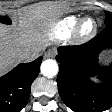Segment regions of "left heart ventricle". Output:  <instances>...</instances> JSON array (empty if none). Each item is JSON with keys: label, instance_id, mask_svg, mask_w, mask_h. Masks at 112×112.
Instances as JSON below:
<instances>
[{"label": "left heart ventricle", "instance_id": "1", "mask_svg": "<svg viewBox=\"0 0 112 112\" xmlns=\"http://www.w3.org/2000/svg\"><path fill=\"white\" fill-rule=\"evenodd\" d=\"M92 27H93L92 22H87V23L84 25V27H83V31H84V32H88V31L91 30Z\"/></svg>", "mask_w": 112, "mask_h": 112}]
</instances>
